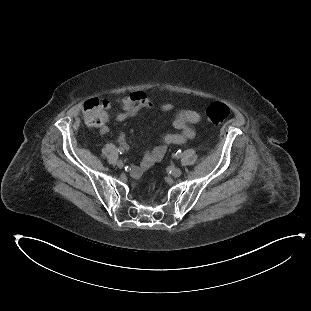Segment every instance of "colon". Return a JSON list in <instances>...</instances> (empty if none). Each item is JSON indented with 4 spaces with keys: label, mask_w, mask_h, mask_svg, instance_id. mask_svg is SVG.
<instances>
[{
    "label": "colon",
    "mask_w": 311,
    "mask_h": 311,
    "mask_svg": "<svg viewBox=\"0 0 311 311\" xmlns=\"http://www.w3.org/2000/svg\"><path fill=\"white\" fill-rule=\"evenodd\" d=\"M109 102L105 100H89L84 104V120L89 125L105 126L108 114ZM231 114L230 108L222 103L212 104L206 111L207 121L210 124L218 125Z\"/></svg>",
    "instance_id": "colon-1"
}]
</instances>
